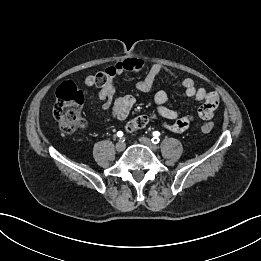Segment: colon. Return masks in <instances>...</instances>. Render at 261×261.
Masks as SVG:
<instances>
[{
	"label": "colon",
	"instance_id": "5ec220e1",
	"mask_svg": "<svg viewBox=\"0 0 261 261\" xmlns=\"http://www.w3.org/2000/svg\"><path fill=\"white\" fill-rule=\"evenodd\" d=\"M106 80L103 72L93 76V84L98 87L103 86ZM56 96L57 100L53 106L52 115L58 122L61 130L65 133H72L78 128L83 127L85 121L81 116V107L84 98L82 92L78 90L76 85L71 81L62 83L57 89ZM153 118V114L139 115L127 123L126 130L133 132L144 128ZM212 130L213 124L211 122L204 123L201 126L203 133H209Z\"/></svg>",
	"mask_w": 261,
	"mask_h": 261
}]
</instances>
